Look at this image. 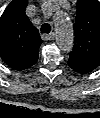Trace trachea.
<instances>
[{"instance_id":"obj_1","label":"trachea","mask_w":100,"mask_h":118,"mask_svg":"<svg viewBox=\"0 0 100 118\" xmlns=\"http://www.w3.org/2000/svg\"><path fill=\"white\" fill-rule=\"evenodd\" d=\"M51 26L48 23H45L41 26V33H50Z\"/></svg>"}]
</instances>
